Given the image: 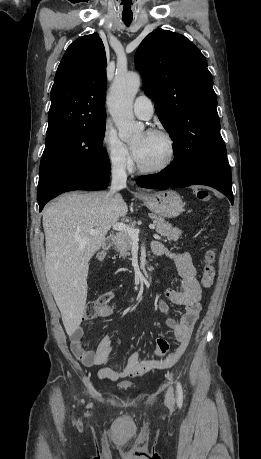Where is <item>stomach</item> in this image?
I'll list each match as a JSON object with an SVG mask.
<instances>
[{
	"label": "stomach",
	"mask_w": 261,
	"mask_h": 459,
	"mask_svg": "<svg viewBox=\"0 0 261 459\" xmlns=\"http://www.w3.org/2000/svg\"><path fill=\"white\" fill-rule=\"evenodd\" d=\"M144 204L156 215L165 218H175L184 210L181 196L174 190H162L144 195Z\"/></svg>",
	"instance_id": "1"
}]
</instances>
